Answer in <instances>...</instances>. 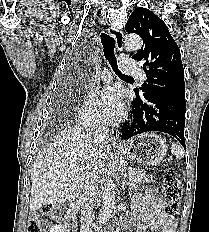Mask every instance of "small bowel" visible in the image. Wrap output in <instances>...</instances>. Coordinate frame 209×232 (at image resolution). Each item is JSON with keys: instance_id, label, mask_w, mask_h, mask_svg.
<instances>
[{"instance_id": "1", "label": "small bowel", "mask_w": 209, "mask_h": 232, "mask_svg": "<svg viewBox=\"0 0 209 232\" xmlns=\"http://www.w3.org/2000/svg\"><path fill=\"white\" fill-rule=\"evenodd\" d=\"M133 217L141 221L137 232L149 230L160 232H175L176 219L166 213L165 203L157 194L155 188H148L143 194H138L133 203ZM126 224L129 221L125 222Z\"/></svg>"}]
</instances>
